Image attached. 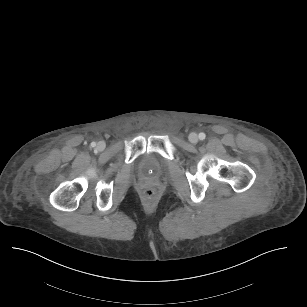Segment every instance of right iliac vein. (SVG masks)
I'll return each mask as SVG.
<instances>
[{
    "label": "right iliac vein",
    "mask_w": 307,
    "mask_h": 307,
    "mask_svg": "<svg viewBox=\"0 0 307 307\" xmlns=\"http://www.w3.org/2000/svg\"><path fill=\"white\" fill-rule=\"evenodd\" d=\"M97 148H98L99 150H103V149L105 148L104 142L100 141V142L97 144Z\"/></svg>",
    "instance_id": "right-iliac-vein-1"
}]
</instances>
